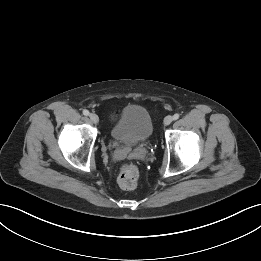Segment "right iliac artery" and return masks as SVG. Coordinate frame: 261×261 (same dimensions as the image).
<instances>
[{
  "label": "right iliac artery",
  "instance_id": "1",
  "mask_svg": "<svg viewBox=\"0 0 261 261\" xmlns=\"http://www.w3.org/2000/svg\"><path fill=\"white\" fill-rule=\"evenodd\" d=\"M83 114L85 115V116H88L90 113H89V111L88 110H83Z\"/></svg>",
  "mask_w": 261,
  "mask_h": 261
}]
</instances>
